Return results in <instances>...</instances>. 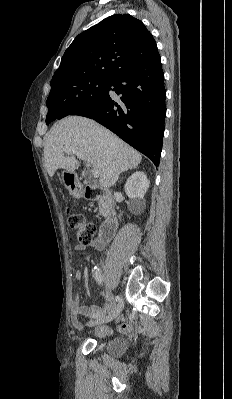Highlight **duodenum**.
<instances>
[{
    "instance_id": "410a0bca",
    "label": "duodenum",
    "mask_w": 232,
    "mask_h": 399,
    "mask_svg": "<svg viewBox=\"0 0 232 399\" xmlns=\"http://www.w3.org/2000/svg\"><path fill=\"white\" fill-rule=\"evenodd\" d=\"M82 193L89 200H102L107 209L106 219L99 231V240L103 243L109 242L115 235L118 228V218L112 209V199L108 191L93 185L84 186Z\"/></svg>"
}]
</instances>
